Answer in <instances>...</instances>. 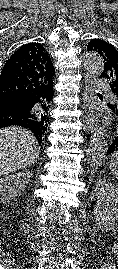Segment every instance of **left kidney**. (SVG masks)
I'll return each instance as SVG.
<instances>
[{
	"label": "left kidney",
	"instance_id": "1",
	"mask_svg": "<svg viewBox=\"0 0 118 269\" xmlns=\"http://www.w3.org/2000/svg\"><path fill=\"white\" fill-rule=\"evenodd\" d=\"M90 198L96 200L93 213L97 226L103 231L111 230L118 219V188L105 178L99 179Z\"/></svg>",
	"mask_w": 118,
	"mask_h": 269
}]
</instances>
